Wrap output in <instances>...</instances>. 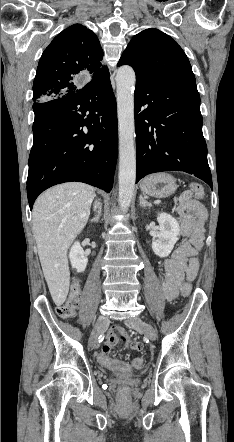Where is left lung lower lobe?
<instances>
[{
    "mask_svg": "<svg viewBox=\"0 0 234 442\" xmlns=\"http://www.w3.org/2000/svg\"><path fill=\"white\" fill-rule=\"evenodd\" d=\"M134 97L136 183L151 173L184 171L212 188L196 83L136 79Z\"/></svg>",
    "mask_w": 234,
    "mask_h": 442,
    "instance_id": "0a47b994",
    "label": "left lung lower lobe"
}]
</instances>
